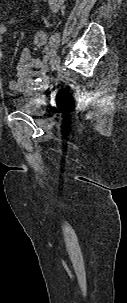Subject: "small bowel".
<instances>
[{"instance_id": "small-bowel-1", "label": "small bowel", "mask_w": 127, "mask_h": 303, "mask_svg": "<svg viewBox=\"0 0 127 303\" xmlns=\"http://www.w3.org/2000/svg\"><path fill=\"white\" fill-rule=\"evenodd\" d=\"M8 30L6 24L0 23V62L4 56L1 48L2 38ZM35 42L43 48V56L42 58H35L28 49L21 52L16 68L17 78L9 82V88L13 92L31 94L35 84L44 86L48 82L46 72L51 57V48L47 43L46 34L43 31L38 32L35 36Z\"/></svg>"}]
</instances>
